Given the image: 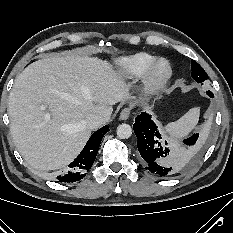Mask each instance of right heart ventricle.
Returning <instances> with one entry per match:
<instances>
[{
  "label": "right heart ventricle",
  "mask_w": 233,
  "mask_h": 233,
  "mask_svg": "<svg viewBox=\"0 0 233 233\" xmlns=\"http://www.w3.org/2000/svg\"><path fill=\"white\" fill-rule=\"evenodd\" d=\"M156 60V57L139 52L131 56L122 57L117 60L118 73L126 79H134L141 76L144 71Z\"/></svg>",
  "instance_id": "1"
}]
</instances>
